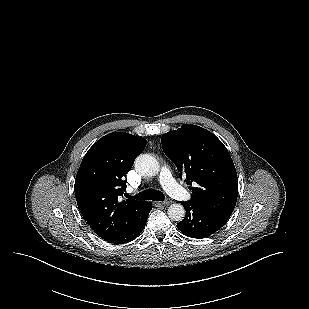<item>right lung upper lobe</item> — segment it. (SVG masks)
Wrapping results in <instances>:
<instances>
[{"label":"right lung upper lobe","instance_id":"obj_1","mask_svg":"<svg viewBox=\"0 0 309 309\" xmlns=\"http://www.w3.org/2000/svg\"><path fill=\"white\" fill-rule=\"evenodd\" d=\"M147 141L113 132L99 139L84 156L75 179L78 208L102 239L121 234L142 215L147 202L121 200L125 175Z\"/></svg>","mask_w":309,"mask_h":309}]
</instances>
